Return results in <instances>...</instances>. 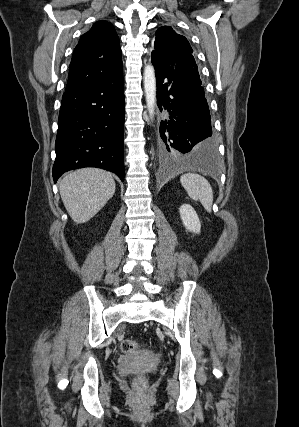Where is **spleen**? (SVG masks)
<instances>
[{
    "mask_svg": "<svg viewBox=\"0 0 299 427\" xmlns=\"http://www.w3.org/2000/svg\"><path fill=\"white\" fill-rule=\"evenodd\" d=\"M180 182L190 198L199 200L205 210L211 212L213 191L208 180L199 174L187 173L180 177Z\"/></svg>",
    "mask_w": 299,
    "mask_h": 427,
    "instance_id": "3e777b00",
    "label": "spleen"
}]
</instances>
